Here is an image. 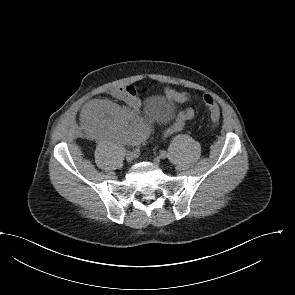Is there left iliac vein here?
Returning <instances> with one entry per match:
<instances>
[{
    "label": "left iliac vein",
    "mask_w": 295,
    "mask_h": 295,
    "mask_svg": "<svg viewBox=\"0 0 295 295\" xmlns=\"http://www.w3.org/2000/svg\"><path fill=\"white\" fill-rule=\"evenodd\" d=\"M161 159H162L161 156H156V157H154L153 162H154L156 165H159L160 162H161Z\"/></svg>",
    "instance_id": "obj_1"
}]
</instances>
